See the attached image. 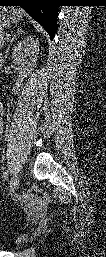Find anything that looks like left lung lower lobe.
<instances>
[{"label":"left lung lower lobe","instance_id":"left-lung-lower-lobe-1","mask_svg":"<svg viewBox=\"0 0 106 257\" xmlns=\"http://www.w3.org/2000/svg\"><path fill=\"white\" fill-rule=\"evenodd\" d=\"M0 5L22 7L53 39L56 31L57 6H59L56 0H0Z\"/></svg>","mask_w":106,"mask_h":257}]
</instances>
